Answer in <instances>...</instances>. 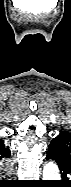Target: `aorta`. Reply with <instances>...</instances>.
Wrapping results in <instances>:
<instances>
[{"mask_svg":"<svg viewBox=\"0 0 71 187\" xmlns=\"http://www.w3.org/2000/svg\"><path fill=\"white\" fill-rule=\"evenodd\" d=\"M59 168L56 163L48 162L43 168V180H60Z\"/></svg>","mask_w":71,"mask_h":187,"instance_id":"obj_1","label":"aorta"}]
</instances>
